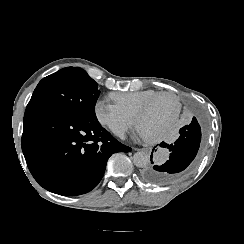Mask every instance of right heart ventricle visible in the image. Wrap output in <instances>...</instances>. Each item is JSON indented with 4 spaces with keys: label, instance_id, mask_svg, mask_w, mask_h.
I'll return each mask as SVG.
<instances>
[{
    "label": "right heart ventricle",
    "instance_id": "obj_1",
    "mask_svg": "<svg viewBox=\"0 0 244 244\" xmlns=\"http://www.w3.org/2000/svg\"><path fill=\"white\" fill-rule=\"evenodd\" d=\"M162 92L155 90H144L136 92L134 90L126 91L123 94L118 92H113L108 95V99L115 103L119 104L132 113H134L139 119V113L142 108V105L147 102L150 98H154L156 95H160Z\"/></svg>",
    "mask_w": 244,
    "mask_h": 244
}]
</instances>
